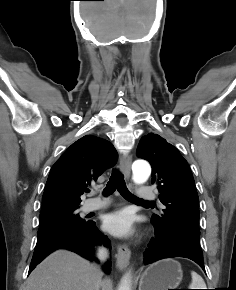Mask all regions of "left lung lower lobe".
I'll return each instance as SVG.
<instances>
[{
  "instance_id": "obj_1",
  "label": "left lung lower lobe",
  "mask_w": 236,
  "mask_h": 290,
  "mask_svg": "<svg viewBox=\"0 0 236 290\" xmlns=\"http://www.w3.org/2000/svg\"><path fill=\"white\" fill-rule=\"evenodd\" d=\"M155 235L144 252V264L163 258L184 257L195 261L204 271L200 239L186 232H175L168 227L153 224Z\"/></svg>"
}]
</instances>
